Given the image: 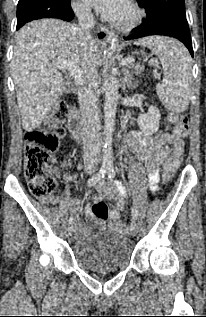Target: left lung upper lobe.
I'll list each match as a JSON object with an SVG mask.
<instances>
[{
	"mask_svg": "<svg viewBox=\"0 0 206 317\" xmlns=\"http://www.w3.org/2000/svg\"><path fill=\"white\" fill-rule=\"evenodd\" d=\"M140 7H144L147 18L160 14L185 15L184 0H137Z\"/></svg>",
	"mask_w": 206,
	"mask_h": 317,
	"instance_id": "obj_1",
	"label": "left lung upper lobe"
}]
</instances>
